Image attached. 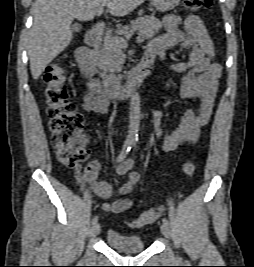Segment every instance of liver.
Returning <instances> with one entry per match:
<instances>
[{
	"instance_id": "6515ba94",
	"label": "liver",
	"mask_w": 254,
	"mask_h": 267,
	"mask_svg": "<svg viewBox=\"0 0 254 267\" xmlns=\"http://www.w3.org/2000/svg\"><path fill=\"white\" fill-rule=\"evenodd\" d=\"M146 0H36L28 38L30 70L37 80L50 62L73 38L74 19L90 21L99 7L106 6L116 17L131 13Z\"/></svg>"
}]
</instances>
